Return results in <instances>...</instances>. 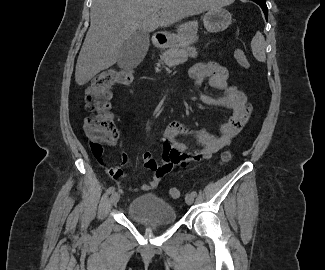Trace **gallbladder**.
Segmentation results:
<instances>
[{"label":"gallbladder","mask_w":325,"mask_h":270,"mask_svg":"<svg viewBox=\"0 0 325 270\" xmlns=\"http://www.w3.org/2000/svg\"><path fill=\"white\" fill-rule=\"evenodd\" d=\"M149 34L141 31L135 32L124 43L119 58L118 66L122 69H129L137 66L145 57L150 39Z\"/></svg>","instance_id":"bac80fb5"}]
</instances>
